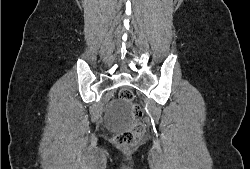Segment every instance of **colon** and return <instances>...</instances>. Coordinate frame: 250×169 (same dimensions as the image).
I'll list each match as a JSON object with an SVG mask.
<instances>
[{
  "label": "colon",
  "mask_w": 250,
  "mask_h": 169,
  "mask_svg": "<svg viewBox=\"0 0 250 169\" xmlns=\"http://www.w3.org/2000/svg\"><path fill=\"white\" fill-rule=\"evenodd\" d=\"M132 88H119L117 97H120L126 104H132L131 114L133 116L134 126H128L127 130H122L120 134L113 138L114 146H119V150H134L136 143H141V139H146L147 130L146 122H138L143 120L144 110H141L142 102H133Z\"/></svg>",
  "instance_id": "5ec220e1"
}]
</instances>
